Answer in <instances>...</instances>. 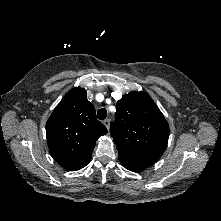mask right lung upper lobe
I'll list each match as a JSON object with an SVG mask.
<instances>
[{
  "label": "right lung upper lobe",
  "instance_id": "1",
  "mask_svg": "<svg viewBox=\"0 0 221 221\" xmlns=\"http://www.w3.org/2000/svg\"><path fill=\"white\" fill-rule=\"evenodd\" d=\"M80 87L68 92L46 124V137L53 159L63 168L76 171L91 160L97 139L108 131L96 119L95 108Z\"/></svg>",
  "mask_w": 221,
  "mask_h": 221
}]
</instances>
